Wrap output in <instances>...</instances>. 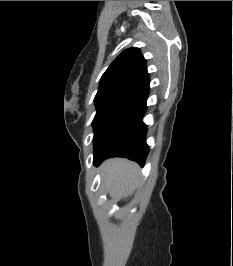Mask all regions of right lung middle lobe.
Listing matches in <instances>:
<instances>
[{
	"instance_id": "right-lung-middle-lobe-1",
	"label": "right lung middle lobe",
	"mask_w": 233,
	"mask_h": 266,
	"mask_svg": "<svg viewBox=\"0 0 233 266\" xmlns=\"http://www.w3.org/2000/svg\"><path fill=\"white\" fill-rule=\"evenodd\" d=\"M147 97L148 93H120L94 99L97 109L92 123L94 152L102 147Z\"/></svg>"
}]
</instances>
